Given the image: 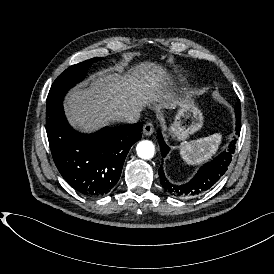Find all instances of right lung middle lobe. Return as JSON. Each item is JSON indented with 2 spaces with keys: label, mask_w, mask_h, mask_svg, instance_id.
<instances>
[{
  "label": "right lung middle lobe",
  "mask_w": 274,
  "mask_h": 274,
  "mask_svg": "<svg viewBox=\"0 0 274 274\" xmlns=\"http://www.w3.org/2000/svg\"><path fill=\"white\" fill-rule=\"evenodd\" d=\"M103 58H92L81 63L70 66L61 75H59L51 86L47 97V105L55 100L63 99L70 88L82 81L86 75L87 69L92 63Z\"/></svg>",
  "instance_id": "obj_1"
}]
</instances>
